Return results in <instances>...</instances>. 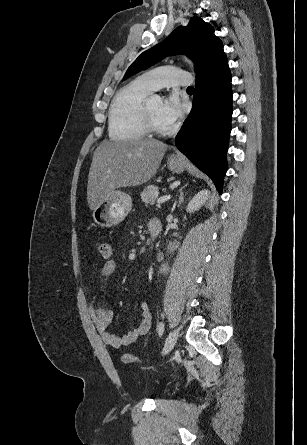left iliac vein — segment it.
<instances>
[{
	"instance_id": "left-iliac-vein-1",
	"label": "left iliac vein",
	"mask_w": 307,
	"mask_h": 445,
	"mask_svg": "<svg viewBox=\"0 0 307 445\" xmlns=\"http://www.w3.org/2000/svg\"><path fill=\"white\" fill-rule=\"evenodd\" d=\"M178 338H179L178 330H173L169 333V335L166 339L163 351H162V353L164 355L168 354L174 348L175 344L177 343Z\"/></svg>"
}]
</instances>
